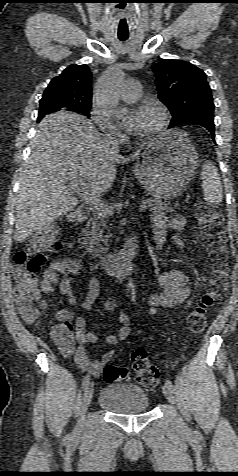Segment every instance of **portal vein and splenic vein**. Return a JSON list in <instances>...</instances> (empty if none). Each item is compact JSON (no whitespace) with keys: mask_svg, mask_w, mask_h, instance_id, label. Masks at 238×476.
<instances>
[{"mask_svg":"<svg viewBox=\"0 0 238 476\" xmlns=\"http://www.w3.org/2000/svg\"><path fill=\"white\" fill-rule=\"evenodd\" d=\"M71 188L85 203L95 209L100 215L112 216L114 214V207L105 204L98 195L91 191L89 186L78 178L70 180ZM148 201H143L139 206V210L144 211L148 207Z\"/></svg>","mask_w":238,"mask_h":476,"instance_id":"obj_1","label":"portal vein and splenic vein"}]
</instances>
